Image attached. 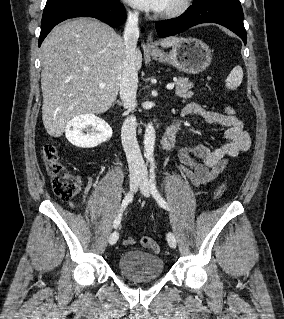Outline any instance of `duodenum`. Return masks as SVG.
<instances>
[{
	"mask_svg": "<svg viewBox=\"0 0 284 319\" xmlns=\"http://www.w3.org/2000/svg\"><path fill=\"white\" fill-rule=\"evenodd\" d=\"M177 134L178 131L175 125H172L169 128H167L161 137L162 147L164 149H170L175 143Z\"/></svg>",
	"mask_w": 284,
	"mask_h": 319,
	"instance_id": "1",
	"label": "duodenum"
}]
</instances>
